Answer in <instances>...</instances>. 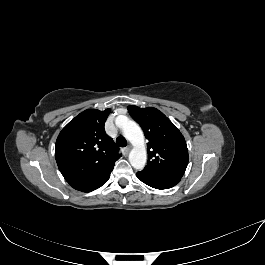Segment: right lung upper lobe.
Returning <instances> with one entry per match:
<instances>
[{
	"instance_id": "obj_1",
	"label": "right lung upper lobe",
	"mask_w": 265,
	"mask_h": 265,
	"mask_svg": "<svg viewBox=\"0 0 265 265\" xmlns=\"http://www.w3.org/2000/svg\"><path fill=\"white\" fill-rule=\"evenodd\" d=\"M110 109H88L60 132L55 158L65 180L76 190L88 192L110 176L119 148L105 133Z\"/></svg>"
}]
</instances>
